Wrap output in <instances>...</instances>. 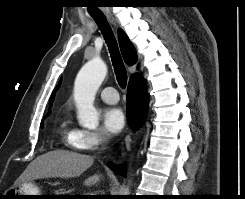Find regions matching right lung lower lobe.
<instances>
[{
  "label": "right lung lower lobe",
  "mask_w": 245,
  "mask_h": 199,
  "mask_svg": "<svg viewBox=\"0 0 245 199\" xmlns=\"http://www.w3.org/2000/svg\"><path fill=\"white\" fill-rule=\"evenodd\" d=\"M147 108V94L142 80L129 82L127 88V115L130 122L139 125L145 116ZM114 170H118L114 168ZM121 175H124L120 171Z\"/></svg>",
  "instance_id": "98d812e1"
}]
</instances>
